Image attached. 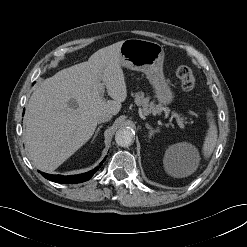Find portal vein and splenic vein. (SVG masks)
Here are the masks:
<instances>
[{
	"label": "portal vein and splenic vein",
	"instance_id": "portal-vein-and-splenic-vein-1",
	"mask_svg": "<svg viewBox=\"0 0 247 247\" xmlns=\"http://www.w3.org/2000/svg\"><path fill=\"white\" fill-rule=\"evenodd\" d=\"M100 92L101 94L103 95L104 94V88L101 86L100 87ZM173 118H175L177 124L179 125L180 128L184 129V124L175 116V115H172Z\"/></svg>",
	"mask_w": 247,
	"mask_h": 247
}]
</instances>
